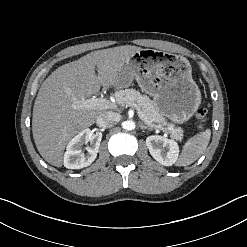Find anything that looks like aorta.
I'll return each instance as SVG.
<instances>
[{
	"label": "aorta",
	"instance_id": "obj_1",
	"mask_svg": "<svg viewBox=\"0 0 247 247\" xmlns=\"http://www.w3.org/2000/svg\"><path fill=\"white\" fill-rule=\"evenodd\" d=\"M122 126H123V128L125 130H128V131H131V130H134L135 129V123L132 120L124 121L123 124H122Z\"/></svg>",
	"mask_w": 247,
	"mask_h": 247
}]
</instances>
